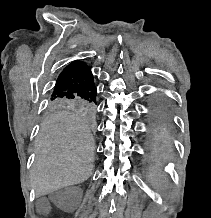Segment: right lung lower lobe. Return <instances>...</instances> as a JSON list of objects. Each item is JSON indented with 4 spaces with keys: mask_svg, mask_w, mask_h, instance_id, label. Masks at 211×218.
<instances>
[{
    "mask_svg": "<svg viewBox=\"0 0 211 218\" xmlns=\"http://www.w3.org/2000/svg\"><path fill=\"white\" fill-rule=\"evenodd\" d=\"M97 88L90 68L81 61L70 63L60 73L51 97L83 98L96 102Z\"/></svg>",
    "mask_w": 211,
    "mask_h": 218,
    "instance_id": "obj_1",
    "label": "right lung lower lobe"
}]
</instances>
